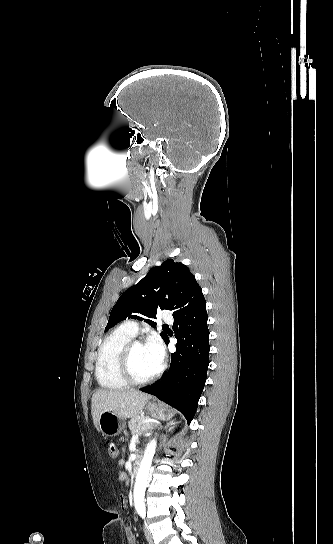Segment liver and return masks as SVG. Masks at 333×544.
Instances as JSON below:
<instances>
[{
  "label": "liver",
  "instance_id": "6515ba94",
  "mask_svg": "<svg viewBox=\"0 0 333 544\" xmlns=\"http://www.w3.org/2000/svg\"><path fill=\"white\" fill-rule=\"evenodd\" d=\"M150 395L129 390H97L91 399V412L94 426L98 429V421L103 411H111L121 418L134 419L142 412Z\"/></svg>",
  "mask_w": 333,
  "mask_h": 544
}]
</instances>
